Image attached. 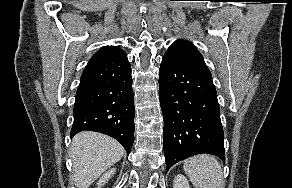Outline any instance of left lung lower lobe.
Here are the masks:
<instances>
[{"mask_svg":"<svg viewBox=\"0 0 292 188\" xmlns=\"http://www.w3.org/2000/svg\"><path fill=\"white\" fill-rule=\"evenodd\" d=\"M159 99L167 170L178 161L201 153L225 160L224 132L211 75L163 56Z\"/></svg>","mask_w":292,"mask_h":188,"instance_id":"left-lung-lower-lobe-1","label":"left lung lower lobe"}]
</instances>
